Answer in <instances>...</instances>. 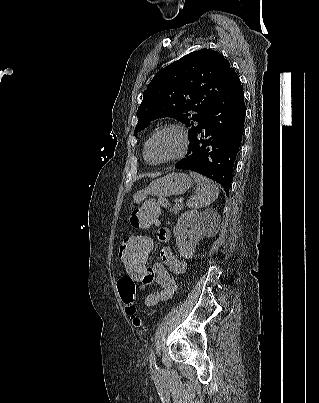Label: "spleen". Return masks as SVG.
I'll return each instance as SVG.
<instances>
[{"mask_svg": "<svg viewBox=\"0 0 319 403\" xmlns=\"http://www.w3.org/2000/svg\"><path fill=\"white\" fill-rule=\"evenodd\" d=\"M190 176L194 178L196 183L197 194L190 197L187 201L188 208H204L218 198L219 188L216 184L212 183L209 178L196 172H190Z\"/></svg>", "mask_w": 319, "mask_h": 403, "instance_id": "spleen-1", "label": "spleen"}]
</instances>
